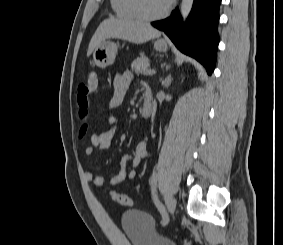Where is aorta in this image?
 Here are the masks:
<instances>
[{"mask_svg": "<svg viewBox=\"0 0 283 245\" xmlns=\"http://www.w3.org/2000/svg\"><path fill=\"white\" fill-rule=\"evenodd\" d=\"M192 5H193V0H182L180 6V13L183 17V20H185L188 14L190 13Z\"/></svg>", "mask_w": 283, "mask_h": 245, "instance_id": "762f6f07", "label": "aorta"}]
</instances>
